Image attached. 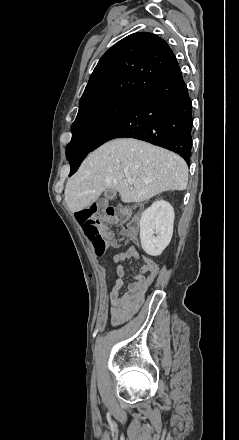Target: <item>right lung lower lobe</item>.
I'll list each match as a JSON object with an SVG mask.
<instances>
[{
  "instance_id": "obj_1",
  "label": "right lung lower lobe",
  "mask_w": 239,
  "mask_h": 440,
  "mask_svg": "<svg viewBox=\"0 0 239 440\" xmlns=\"http://www.w3.org/2000/svg\"><path fill=\"white\" fill-rule=\"evenodd\" d=\"M192 105L177 64L153 87L137 96L123 114L85 152L67 150L72 175L87 154L108 140L129 137L178 153L190 163Z\"/></svg>"
}]
</instances>
